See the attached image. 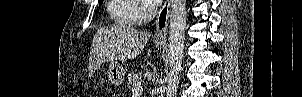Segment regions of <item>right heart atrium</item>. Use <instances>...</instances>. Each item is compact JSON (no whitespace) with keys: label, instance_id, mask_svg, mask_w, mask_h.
Returning <instances> with one entry per match:
<instances>
[{"label":"right heart atrium","instance_id":"d8ad5b80","mask_svg":"<svg viewBox=\"0 0 302 97\" xmlns=\"http://www.w3.org/2000/svg\"><path fill=\"white\" fill-rule=\"evenodd\" d=\"M149 18V7L148 4L145 2H142L138 6V12H137V20L139 23L144 22Z\"/></svg>","mask_w":302,"mask_h":97}]
</instances>
